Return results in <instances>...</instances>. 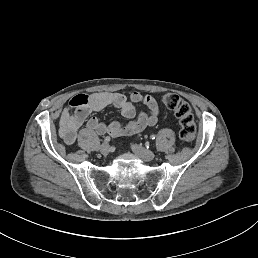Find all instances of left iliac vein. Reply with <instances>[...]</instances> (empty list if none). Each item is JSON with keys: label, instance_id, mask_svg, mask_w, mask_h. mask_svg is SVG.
I'll use <instances>...</instances> for the list:
<instances>
[{"label": "left iliac vein", "instance_id": "1", "mask_svg": "<svg viewBox=\"0 0 258 258\" xmlns=\"http://www.w3.org/2000/svg\"><path fill=\"white\" fill-rule=\"evenodd\" d=\"M132 147V152L135 153L137 156H139L140 158H142L144 160V162H149L153 159H155V154H153L152 152L146 150V149H142L141 146L139 145H133L130 146Z\"/></svg>", "mask_w": 258, "mask_h": 258}]
</instances>
